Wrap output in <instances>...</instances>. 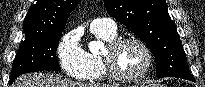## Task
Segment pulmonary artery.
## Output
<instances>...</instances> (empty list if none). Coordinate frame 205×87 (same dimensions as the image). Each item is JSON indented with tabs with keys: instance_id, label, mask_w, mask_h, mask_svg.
Masks as SVG:
<instances>
[{
	"instance_id": "pulmonary-artery-1",
	"label": "pulmonary artery",
	"mask_w": 205,
	"mask_h": 87,
	"mask_svg": "<svg viewBox=\"0 0 205 87\" xmlns=\"http://www.w3.org/2000/svg\"><path fill=\"white\" fill-rule=\"evenodd\" d=\"M117 29L116 23L108 18H96L90 23L91 31H101L107 33H115Z\"/></svg>"
}]
</instances>
